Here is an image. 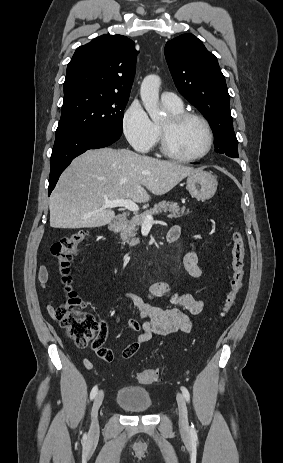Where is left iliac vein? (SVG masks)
<instances>
[{
  "instance_id": "4c4485c4",
  "label": "left iliac vein",
  "mask_w": 283,
  "mask_h": 463,
  "mask_svg": "<svg viewBox=\"0 0 283 463\" xmlns=\"http://www.w3.org/2000/svg\"><path fill=\"white\" fill-rule=\"evenodd\" d=\"M178 410H179V425L183 430H187L189 427L188 422V410L185 399L182 394L178 393L176 396Z\"/></svg>"
}]
</instances>
